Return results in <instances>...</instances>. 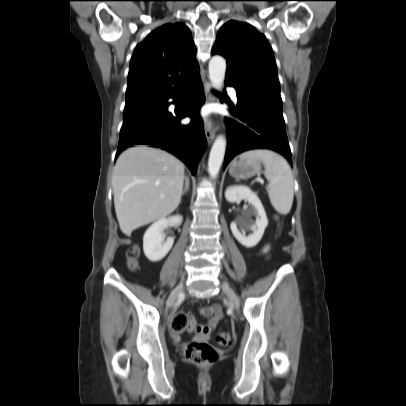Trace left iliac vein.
Instances as JSON below:
<instances>
[{"label":"left iliac vein","mask_w":406,"mask_h":406,"mask_svg":"<svg viewBox=\"0 0 406 406\" xmlns=\"http://www.w3.org/2000/svg\"><path fill=\"white\" fill-rule=\"evenodd\" d=\"M222 289L224 293L227 295L231 305L235 308H239L240 301L234 290L228 285H222Z\"/></svg>","instance_id":"1"}]
</instances>
